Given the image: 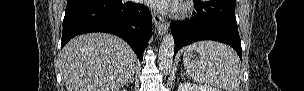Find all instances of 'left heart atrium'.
<instances>
[{
	"instance_id": "1",
	"label": "left heart atrium",
	"mask_w": 304,
	"mask_h": 91,
	"mask_svg": "<svg viewBox=\"0 0 304 91\" xmlns=\"http://www.w3.org/2000/svg\"><path fill=\"white\" fill-rule=\"evenodd\" d=\"M149 4L152 7L166 10V9H173L176 7L177 1L172 0H150Z\"/></svg>"
}]
</instances>
